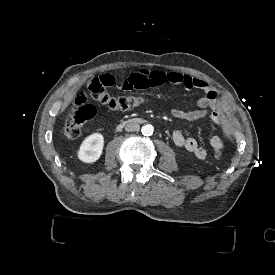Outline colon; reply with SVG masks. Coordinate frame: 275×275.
Wrapping results in <instances>:
<instances>
[{"instance_id":"5ec220e1","label":"colon","mask_w":275,"mask_h":275,"mask_svg":"<svg viewBox=\"0 0 275 275\" xmlns=\"http://www.w3.org/2000/svg\"><path fill=\"white\" fill-rule=\"evenodd\" d=\"M85 88H91L93 99L100 105L112 110H126L140 106L144 98L139 96L114 97L105 92L106 86L100 77H85ZM95 105L88 101L85 93H79L74 100V109L69 114L64 124V133L69 138H77L83 134L85 124L96 115ZM217 162L224 160L221 150L216 149L212 153Z\"/></svg>"}]
</instances>
